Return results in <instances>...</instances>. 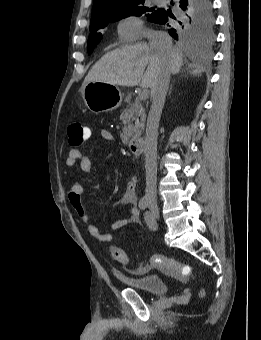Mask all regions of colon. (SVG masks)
I'll list each match as a JSON object with an SVG mask.
<instances>
[{
  "label": "colon",
  "instance_id": "5ec220e1",
  "mask_svg": "<svg viewBox=\"0 0 261 340\" xmlns=\"http://www.w3.org/2000/svg\"><path fill=\"white\" fill-rule=\"evenodd\" d=\"M67 134L69 144L72 146H79L86 140L85 126L79 121H73L69 124ZM111 255L116 261L122 264L126 265L129 263L128 255L116 246L111 247ZM148 266L174 274L184 280H197L191 266L160 254L149 255ZM199 295L200 297L204 295L203 289H200Z\"/></svg>",
  "mask_w": 261,
  "mask_h": 340
}]
</instances>
